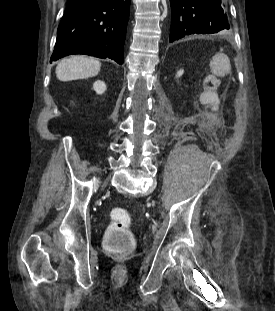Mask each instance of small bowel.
<instances>
[{
    "label": "small bowel",
    "mask_w": 275,
    "mask_h": 311,
    "mask_svg": "<svg viewBox=\"0 0 275 311\" xmlns=\"http://www.w3.org/2000/svg\"><path fill=\"white\" fill-rule=\"evenodd\" d=\"M236 59V55H233L232 51H229L228 55L209 56V69L203 75L204 80L199 81V91L201 93L199 102L203 112H221L222 94L220 80H227L231 62H236Z\"/></svg>",
    "instance_id": "c3829d8e"
}]
</instances>
